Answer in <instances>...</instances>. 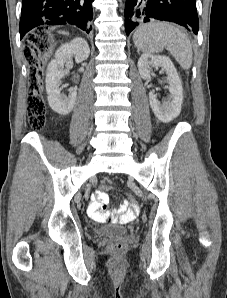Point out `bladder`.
I'll use <instances>...</instances> for the list:
<instances>
[{
  "label": "bladder",
  "mask_w": 227,
  "mask_h": 298,
  "mask_svg": "<svg viewBox=\"0 0 227 298\" xmlns=\"http://www.w3.org/2000/svg\"><path fill=\"white\" fill-rule=\"evenodd\" d=\"M127 228L120 225H106L96 230V234L102 237H117L125 234Z\"/></svg>",
  "instance_id": "obj_1"
}]
</instances>
